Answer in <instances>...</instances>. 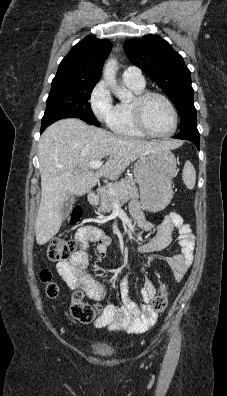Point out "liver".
<instances>
[{"label":"liver","mask_w":227,"mask_h":396,"mask_svg":"<svg viewBox=\"0 0 227 396\" xmlns=\"http://www.w3.org/2000/svg\"><path fill=\"white\" fill-rule=\"evenodd\" d=\"M176 141H145L117 136L77 118L49 126L38 145L41 201L35 223L38 245L51 240L61 227V207L68 195L82 196L100 177L117 180L131 162L152 150H172ZM106 158L96 172L87 166Z\"/></svg>","instance_id":"1"}]
</instances>
